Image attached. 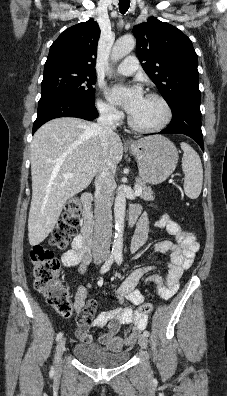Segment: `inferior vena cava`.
Here are the masks:
<instances>
[{
  "mask_svg": "<svg viewBox=\"0 0 227 396\" xmlns=\"http://www.w3.org/2000/svg\"><path fill=\"white\" fill-rule=\"evenodd\" d=\"M115 116L108 109L100 110V116L94 128L102 146H108V140L114 134ZM116 167L107 162L104 164L95 180V224L92 242V251L95 257L107 256L110 252L112 235V190L115 183Z\"/></svg>",
  "mask_w": 227,
  "mask_h": 396,
  "instance_id": "602c4592",
  "label": "inferior vena cava"
}]
</instances>
